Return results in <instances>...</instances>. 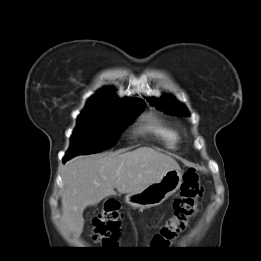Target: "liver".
Listing matches in <instances>:
<instances>
[{
	"instance_id": "obj_1",
	"label": "liver",
	"mask_w": 261,
	"mask_h": 261,
	"mask_svg": "<svg viewBox=\"0 0 261 261\" xmlns=\"http://www.w3.org/2000/svg\"><path fill=\"white\" fill-rule=\"evenodd\" d=\"M173 169H180L175 159L150 147L77 156L65 164L62 173V221L78 237L87 206L115 195V188L125 194L139 192Z\"/></svg>"
}]
</instances>
